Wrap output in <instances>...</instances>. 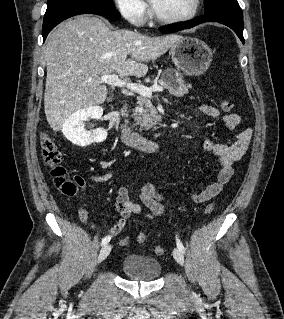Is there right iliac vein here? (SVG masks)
<instances>
[{
    "mask_svg": "<svg viewBox=\"0 0 284 319\" xmlns=\"http://www.w3.org/2000/svg\"><path fill=\"white\" fill-rule=\"evenodd\" d=\"M111 252V245L110 244H106L102 247V249L100 250L99 256H98V263H101L103 260H105L107 258V256L110 254Z\"/></svg>",
    "mask_w": 284,
    "mask_h": 319,
    "instance_id": "63e3f726",
    "label": "right iliac vein"
}]
</instances>
